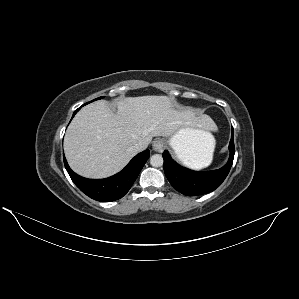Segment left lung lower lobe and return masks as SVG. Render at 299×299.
I'll return each mask as SVG.
<instances>
[{
  "mask_svg": "<svg viewBox=\"0 0 299 299\" xmlns=\"http://www.w3.org/2000/svg\"><path fill=\"white\" fill-rule=\"evenodd\" d=\"M229 149L230 157L227 164L218 170L209 172H197L184 168L172 160L168 151H164L162 156L165 175L171 185L184 195L196 196L209 193L221 185L232 166L235 154L233 128Z\"/></svg>",
  "mask_w": 299,
  "mask_h": 299,
  "instance_id": "0a47b994",
  "label": "left lung lower lobe"
}]
</instances>
